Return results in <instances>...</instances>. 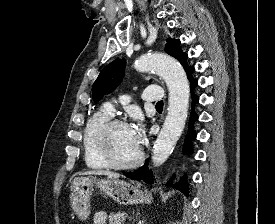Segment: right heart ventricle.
<instances>
[{"instance_id": "e07e8e85", "label": "right heart ventricle", "mask_w": 275, "mask_h": 224, "mask_svg": "<svg viewBox=\"0 0 275 224\" xmlns=\"http://www.w3.org/2000/svg\"><path fill=\"white\" fill-rule=\"evenodd\" d=\"M110 118V114L104 109L95 112L86 122L83 130V153L88 168L102 170L108 168L95 146V135L99 126Z\"/></svg>"}]
</instances>
